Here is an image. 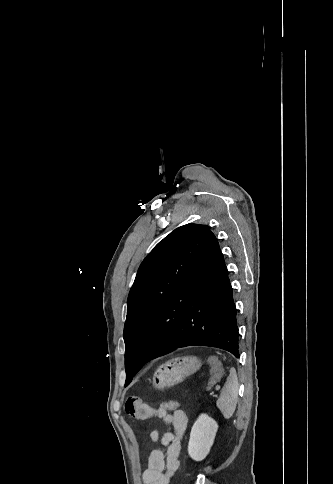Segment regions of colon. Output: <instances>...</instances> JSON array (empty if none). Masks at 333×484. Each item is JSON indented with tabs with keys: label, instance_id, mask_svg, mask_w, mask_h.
Returning <instances> with one entry per match:
<instances>
[{
	"label": "colon",
	"instance_id": "obj_1",
	"mask_svg": "<svg viewBox=\"0 0 333 484\" xmlns=\"http://www.w3.org/2000/svg\"><path fill=\"white\" fill-rule=\"evenodd\" d=\"M210 369H211V377L209 381V388L217 385L222 378L223 371L222 367L218 361L211 359L209 361ZM159 410V412H168L173 410H178L180 408V403L178 401H168L162 403L158 407H155Z\"/></svg>",
	"mask_w": 333,
	"mask_h": 484
}]
</instances>
